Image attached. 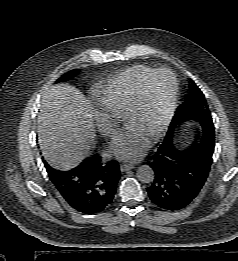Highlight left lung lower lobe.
I'll use <instances>...</instances> for the list:
<instances>
[{
  "label": "left lung lower lobe",
  "instance_id": "left-lung-lower-lobe-1",
  "mask_svg": "<svg viewBox=\"0 0 238 261\" xmlns=\"http://www.w3.org/2000/svg\"><path fill=\"white\" fill-rule=\"evenodd\" d=\"M203 139L198 144L179 151L172 141L161 144L150 164L155 173L147 188L151 201L166 210L187 206L203 187L212 163L214 125L204 122Z\"/></svg>",
  "mask_w": 238,
  "mask_h": 261
}]
</instances>
